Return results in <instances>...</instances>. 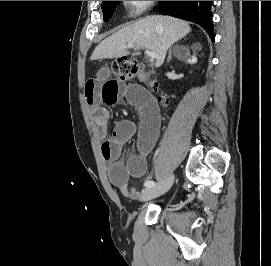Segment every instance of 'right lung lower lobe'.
<instances>
[{
  "mask_svg": "<svg viewBox=\"0 0 271 266\" xmlns=\"http://www.w3.org/2000/svg\"><path fill=\"white\" fill-rule=\"evenodd\" d=\"M211 5L212 1H158L159 10L163 15L195 22L214 40Z\"/></svg>",
  "mask_w": 271,
  "mask_h": 266,
  "instance_id": "obj_1",
  "label": "right lung lower lobe"
}]
</instances>
